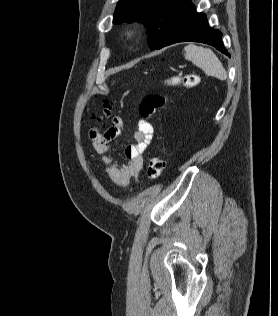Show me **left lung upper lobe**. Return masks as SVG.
I'll return each instance as SVG.
<instances>
[{
  "label": "left lung upper lobe",
  "mask_w": 278,
  "mask_h": 316,
  "mask_svg": "<svg viewBox=\"0 0 278 316\" xmlns=\"http://www.w3.org/2000/svg\"><path fill=\"white\" fill-rule=\"evenodd\" d=\"M189 0H120L113 23L142 22L152 50L161 49L175 32Z\"/></svg>",
  "instance_id": "5c2ea615"
}]
</instances>
